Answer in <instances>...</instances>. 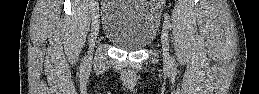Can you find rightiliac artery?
I'll return each mask as SVG.
<instances>
[{
	"label": "right iliac artery",
	"mask_w": 259,
	"mask_h": 94,
	"mask_svg": "<svg viewBox=\"0 0 259 94\" xmlns=\"http://www.w3.org/2000/svg\"><path fill=\"white\" fill-rule=\"evenodd\" d=\"M90 9H91L92 16H94V11H95V3L94 2H91Z\"/></svg>",
	"instance_id": "right-iliac-artery-1"
}]
</instances>
